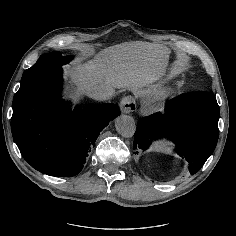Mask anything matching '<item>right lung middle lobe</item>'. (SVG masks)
I'll use <instances>...</instances> for the list:
<instances>
[{"instance_id": "dd1d6c3e", "label": "right lung middle lobe", "mask_w": 236, "mask_h": 236, "mask_svg": "<svg viewBox=\"0 0 236 236\" xmlns=\"http://www.w3.org/2000/svg\"><path fill=\"white\" fill-rule=\"evenodd\" d=\"M71 59L72 56H62L60 52L44 54L40 56L38 61L31 68L24 71L21 82L41 72L60 67L68 63Z\"/></svg>"}]
</instances>
